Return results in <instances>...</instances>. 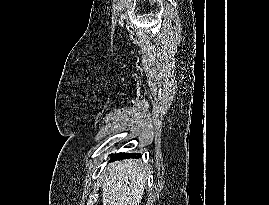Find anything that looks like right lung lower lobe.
<instances>
[{
    "mask_svg": "<svg viewBox=\"0 0 269 205\" xmlns=\"http://www.w3.org/2000/svg\"><path fill=\"white\" fill-rule=\"evenodd\" d=\"M141 157L140 153H119V154H115L112 155V160H121V159H126V158H139Z\"/></svg>",
    "mask_w": 269,
    "mask_h": 205,
    "instance_id": "obj_1",
    "label": "right lung lower lobe"
}]
</instances>
